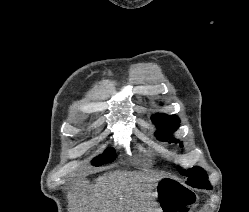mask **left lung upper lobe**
Returning <instances> with one entry per match:
<instances>
[{
    "mask_svg": "<svg viewBox=\"0 0 249 212\" xmlns=\"http://www.w3.org/2000/svg\"><path fill=\"white\" fill-rule=\"evenodd\" d=\"M152 121L158 128V131L155 134L157 136V139L162 141H168L169 139L170 142H179L176 139L170 138L171 133H173L178 128L180 123V120L175 115H154L152 117ZM178 169L180 171V174L188 177L187 184L192 187L210 184L208 181L207 174L202 168L194 167L188 170L181 168Z\"/></svg>",
    "mask_w": 249,
    "mask_h": 212,
    "instance_id": "left-lung-upper-lobe-1",
    "label": "left lung upper lobe"
}]
</instances>
